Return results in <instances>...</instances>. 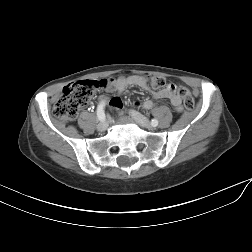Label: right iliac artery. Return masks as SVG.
<instances>
[{
    "mask_svg": "<svg viewBox=\"0 0 252 252\" xmlns=\"http://www.w3.org/2000/svg\"><path fill=\"white\" fill-rule=\"evenodd\" d=\"M104 107H105V102H102L98 105L97 107V113L99 115V120L101 122H104L105 121V111H104ZM98 120V121H99Z\"/></svg>",
    "mask_w": 252,
    "mask_h": 252,
    "instance_id": "right-iliac-artery-1",
    "label": "right iliac artery"
}]
</instances>
